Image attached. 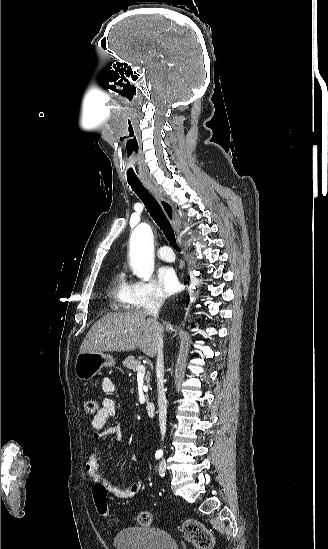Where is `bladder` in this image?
<instances>
[{"label": "bladder", "mask_w": 328, "mask_h": 549, "mask_svg": "<svg viewBox=\"0 0 328 549\" xmlns=\"http://www.w3.org/2000/svg\"><path fill=\"white\" fill-rule=\"evenodd\" d=\"M117 549H176L172 536L164 530L127 528L115 536Z\"/></svg>", "instance_id": "obj_1"}]
</instances>
